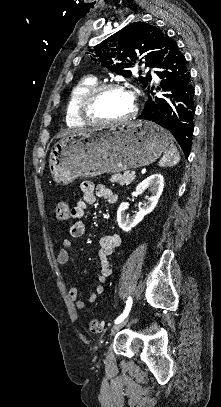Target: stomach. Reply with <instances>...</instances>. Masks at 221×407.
Segmentation results:
<instances>
[{
  "instance_id": "0dacf381",
  "label": "stomach",
  "mask_w": 221,
  "mask_h": 407,
  "mask_svg": "<svg viewBox=\"0 0 221 407\" xmlns=\"http://www.w3.org/2000/svg\"><path fill=\"white\" fill-rule=\"evenodd\" d=\"M171 135L150 121H135L62 137L51 149L52 178L67 185L78 177H95L136 169L156 161Z\"/></svg>"
}]
</instances>
